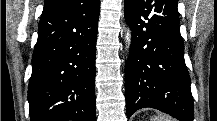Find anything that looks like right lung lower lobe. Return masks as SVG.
I'll use <instances>...</instances> for the list:
<instances>
[{
	"instance_id": "obj_1",
	"label": "right lung lower lobe",
	"mask_w": 217,
	"mask_h": 121,
	"mask_svg": "<svg viewBox=\"0 0 217 121\" xmlns=\"http://www.w3.org/2000/svg\"><path fill=\"white\" fill-rule=\"evenodd\" d=\"M99 6L77 0L43 10L28 87L31 121H96Z\"/></svg>"
}]
</instances>
